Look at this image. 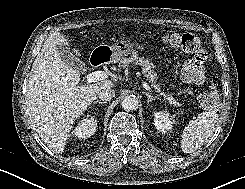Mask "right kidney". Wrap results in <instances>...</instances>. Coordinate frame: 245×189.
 <instances>
[{"label": "right kidney", "instance_id": "right-kidney-1", "mask_svg": "<svg viewBox=\"0 0 245 189\" xmlns=\"http://www.w3.org/2000/svg\"><path fill=\"white\" fill-rule=\"evenodd\" d=\"M97 127V121L94 118H84L82 119L78 126L74 129L73 135L79 139H85L94 134Z\"/></svg>", "mask_w": 245, "mask_h": 189}]
</instances>
